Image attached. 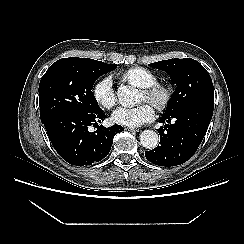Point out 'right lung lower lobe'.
Wrapping results in <instances>:
<instances>
[{
    "label": "right lung lower lobe",
    "instance_id": "right-lung-lower-lobe-1",
    "mask_svg": "<svg viewBox=\"0 0 244 244\" xmlns=\"http://www.w3.org/2000/svg\"><path fill=\"white\" fill-rule=\"evenodd\" d=\"M106 118L103 111L91 114L59 113L44 120L49 139L57 153L76 166L91 165L105 158L114 136L124 129L120 125L103 128L98 125ZM90 126L97 130L90 132Z\"/></svg>",
    "mask_w": 244,
    "mask_h": 244
}]
</instances>
